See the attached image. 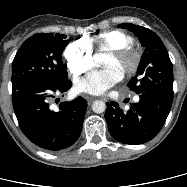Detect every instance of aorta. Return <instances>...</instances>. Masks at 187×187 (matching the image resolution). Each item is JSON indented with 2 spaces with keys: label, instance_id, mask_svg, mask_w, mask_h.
<instances>
[{
  "label": "aorta",
  "instance_id": "aorta-1",
  "mask_svg": "<svg viewBox=\"0 0 187 187\" xmlns=\"http://www.w3.org/2000/svg\"><path fill=\"white\" fill-rule=\"evenodd\" d=\"M92 110L93 112L100 114L103 113L106 110V104L103 101L96 100L92 104Z\"/></svg>",
  "mask_w": 187,
  "mask_h": 187
}]
</instances>
